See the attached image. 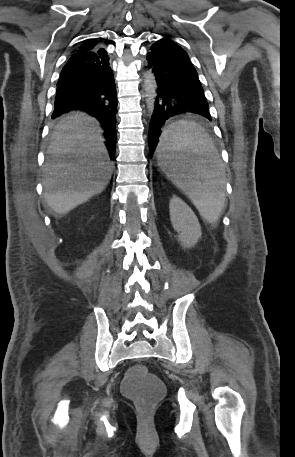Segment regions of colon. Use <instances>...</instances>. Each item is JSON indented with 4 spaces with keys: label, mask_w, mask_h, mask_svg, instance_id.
Returning a JSON list of instances; mask_svg holds the SVG:
<instances>
[{
    "label": "colon",
    "mask_w": 295,
    "mask_h": 457,
    "mask_svg": "<svg viewBox=\"0 0 295 457\" xmlns=\"http://www.w3.org/2000/svg\"><path fill=\"white\" fill-rule=\"evenodd\" d=\"M157 374L146 369L144 363H137L135 369H127L126 381L121 382V389L132 398L143 411H149L163 392Z\"/></svg>",
    "instance_id": "obj_1"
}]
</instances>
